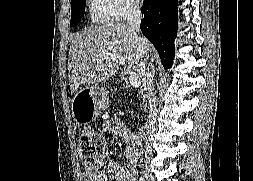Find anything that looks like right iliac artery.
Masks as SVG:
<instances>
[{
  "mask_svg": "<svg viewBox=\"0 0 253 181\" xmlns=\"http://www.w3.org/2000/svg\"><path fill=\"white\" fill-rule=\"evenodd\" d=\"M139 181H144V177H140Z\"/></svg>",
  "mask_w": 253,
  "mask_h": 181,
  "instance_id": "1",
  "label": "right iliac artery"
}]
</instances>
